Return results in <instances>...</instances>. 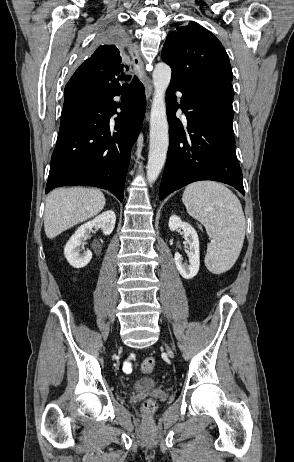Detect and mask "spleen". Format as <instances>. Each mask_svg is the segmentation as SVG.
<instances>
[{
    "instance_id": "obj_1",
    "label": "spleen",
    "mask_w": 294,
    "mask_h": 462,
    "mask_svg": "<svg viewBox=\"0 0 294 462\" xmlns=\"http://www.w3.org/2000/svg\"><path fill=\"white\" fill-rule=\"evenodd\" d=\"M182 201L190 216L201 222L211 242L205 265L214 274L228 271L236 262L245 237V218L237 196L224 185L199 181L188 185Z\"/></svg>"
}]
</instances>
